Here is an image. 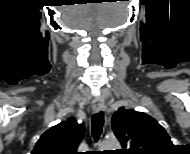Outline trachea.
I'll return each mask as SVG.
<instances>
[{"label":"trachea","instance_id":"trachea-1","mask_svg":"<svg viewBox=\"0 0 190 154\" xmlns=\"http://www.w3.org/2000/svg\"><path fill=\"white\" fill-rule=\"evenodd\" d=\"M103 123H104L103 113L102 112L96 113L92 119V134L95 141H98L101 135Z\"/></svg>","mask_w":190,"mask_h":154}]
</instances>
